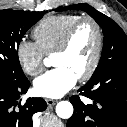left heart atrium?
<instances>
[{
	"label": "left heart atrium",
	"instance_id": "obj_1",
	"mask_svg": "<svg viewBox=\"0 0 127 127\" xmlns=\"http://www.w3.org/2000/svg\"><path fill=\"white\" fill-rule=\"evenodd\" d=\"M77 77L65 67H56L47 71L34 82L37 95L47 98H59L76 83Z\"/></svg>",
	"mask_w": 127,
	"mask_h": 127
}]
</instances>
